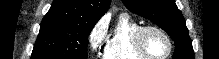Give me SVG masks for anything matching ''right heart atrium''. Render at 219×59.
Wrapping results in <instances>:
<instances>
[{"label": "right heart atrium", "mask_w": 219, "mask_h": 59, "mask_svg": "<svg viewBox=\"0 0 219 59\" xmlns=\"http://www.w3.org/2000/svg\"><path fill=\"white\" fill-rule=\"evenodd\" d=\"M106 36V27L103 22H98L88 35V43L92 52H96L102 46Z\"/></svg>", "instance_id": "right-heart-atrium-1"}]
</instances>
